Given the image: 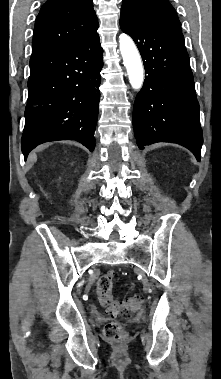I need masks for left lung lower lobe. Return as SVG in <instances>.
I'll return each instance as SVG.
<instances>
[{
  "instance_id": "1",
  "label": "left lung lower lobe",
  "mask_w": 221,
  "mask_h": 379,
  "mask_svg": "<svg viewBox=\"0 0 221 379\" xmlns=\"http://www.w3.org/2000/svg\"><path fill=\"white\" fill-rule=\"evenodd\" d=\"M120 27L137 44L147 74L133 109L138 147L177 143L200 161L199 103L183 34L149 24L128 5H122Z\"/></svg>"
}]
</instances>
